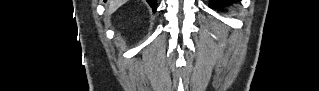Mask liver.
Returning <instances> with one entry per match:
<instances>
[{
	"label": "liver",
	"mask_w": 319,
	"mask_h": 91,
	"mask_svg": "<svg viewBox=\"0 0 319 91\" xmlns=\"http://www.w3.org/2000/svg\"><path fill=\"white\" fill-rule=\"evenodd\" d=\"M126 2H127V0H109V1H107V3H108L107 12L109 14L113 13L114 11H116L120 6H122Z\"/></svg>",
	"instance_id": "6515ba94"
}]
</instances>
